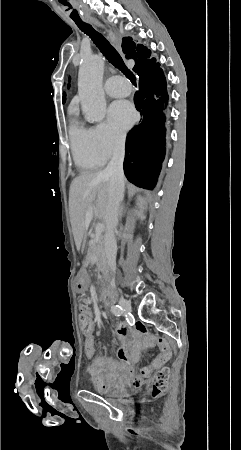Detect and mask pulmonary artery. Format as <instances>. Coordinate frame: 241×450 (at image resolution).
Masks as SVG:
<instances>
[{
    "instance_id": "e3ab8cb5",
    "label": "pulmonary artery",
    "mask_w": 241,
    "mask_h": 450,
    "mask_svg": "<svg viewBox=\"0 0 241 450\" xmlns=\"http://www.w3.org/2000/svg\"><path fill=\"white\" fill-rule=\"evenodd\" d=\"M104 90L109 95L108 99L112 100L113 97L126 96L125 92H131L132 85L128 78H123L122 74H109Z\"/></svg>"
}]
</instances>
